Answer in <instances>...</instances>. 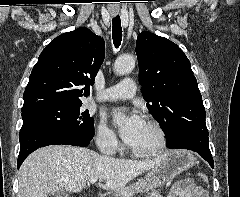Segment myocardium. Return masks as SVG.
<instances>
[{
	"mask_svg": "<svg viewBox=\"0 0 240 197\" xmlns=\"http://www.w3.org/2000/svg\"><path fill=\"white\" fill-rule=\"evenodd\" d=\"M146 123L152 127L157 136V143L150 149H137L128 146V151L136 157H149L160 154L167 144V136L163 126L155 119H147Z\"/></svg>",
	"mask_w": 240,
	"mask_h": 197,
	"instance_id": "1",
	"label": "myocardium"
}]
</instances>
